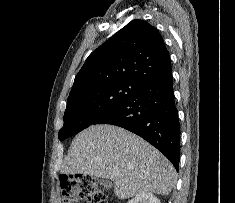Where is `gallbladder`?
Returning <instances> with one entry per match:
<instances>
[{
	"label": "gallbladder",
	"instance_id": "gallbladder-1",
	"mask_svg": "<svg viewBox=\"0 0 235 203\" xmlns=\"http://www.w3.org/2000/svg\"><path fill=\"white\" fill-rule=\"evenodd\" d=\"M101 183L104 184L107 187H111L112 186V183L109 180H107V179H102Z\"/></svg>",
	"mask_w": 235,
	"mask_h": 203
}]
</instances>
